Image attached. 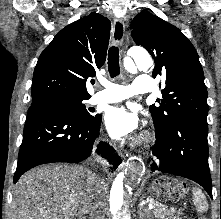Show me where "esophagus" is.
Returning a JSON list of instances; mask_svg holds the SVG:
<instances>
[{"instance_id": "esophagus-1", "label": "esophagus", "mask_w": 221, "mask_h": 219, "mask_svg": "<svg viewBox=\"0 0 221 219\" xmlns=\"http://www.w3.org/2000/svg\"><path fill=\"white\" fill-rule=\"evenodd\" d=\"M125 37V23L122 18H115L113 23L111 42L113 45H121Z\"/></svg>"}]
</instances>
